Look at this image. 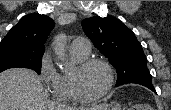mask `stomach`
I'll use <instances>...</instances> for the list:
<instances>
[{"instance_id":"0dacf381","label":"stomach","mask_w":171,"mask_h":110,"mask_svg":"<svg viewBox=\"0 0 171 110\" xmlns=\"http://www.w3.org/2000/svg\"><path fill=\"white\" fill-rule=\"evenodd\" d=\"M89 110H121L119 103L113 101L109 105H101L90 108Z\"/></svg>"}]
</instances>
